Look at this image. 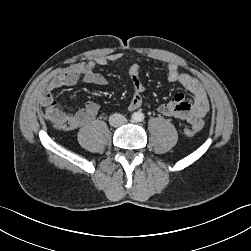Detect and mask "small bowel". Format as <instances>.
<instances>
[{"instance_id":"1","label":"small bowel","mask_w":251,"mask_h":251,"mask_svg":"<svg viewBox=\"0 0 251 251\" xmlns=\"http://www.w3.org/2000/svg\"><path fill=\"white\" fill-rule=\"evenodd\" d=\"M123 58L121 53H112L106 56H99L87 62L78 63L67 68L60 74L53 77L45 86L44 93L40 96L42 105H54L53 92L73 86L79 81L88 84L104 86L108 83L107 78L95 71L98 66H105L109 62H116ZM167 79L176 82L184 87L191 97L183 93L175 94L171 100L162 103L157 111L167 117L183 120L191 124L195 130H200L205 122L209 111V100L202 84L189 73L181 71L175 63L166 66ZM127 74L133 86V95L128 104L129 110H136L144 104V86L139 79V66L132 64L127 68ZM99 112V105L94 101H88L85 106L75 113V127L82 126L92 120Z\"/></svg>"}]
</instances>
